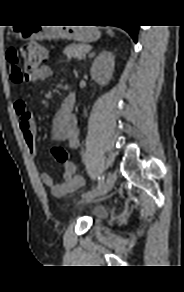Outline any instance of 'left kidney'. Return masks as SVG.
<instances>
[{
	"instance_id": "5707ae66",
	"label": "left kidney",
	"mask_w": 184,
	"mask_h": 292,
	"mask_svg": "<svg viewBox=\"0 0 184 292\" xmlns=\"http://www.w3.org/2000/svg\"><path fill=\"white\" fill-rule=\"evenodd\" d=\"M115 67V57L109 51H103L94 60L90 74L101 86L107 85L112 78Z\"/></svg>"
}]
</instances>
